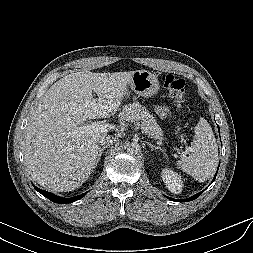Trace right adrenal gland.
<instances>
[{
    "label": "right adrenal gland",
    "mask_w": 253,
    "mask_h": 253,
    "mask_svg": "<svg viewBox=\"0 0 253 253\" xmlns=\"http://www.w3.org/2000/svg\"><path fill=\"white\" fill-rule=\"evenodd\" d=\"M107 148V146H103L102 148L100 147L99 148V153H98V157H97V160H96V165L98 164V162L100 161L101 159V155L103 153V151Z\"/></svg>",
    "instance_id": "right-adrenal-gland-1"
}]
</instances>
